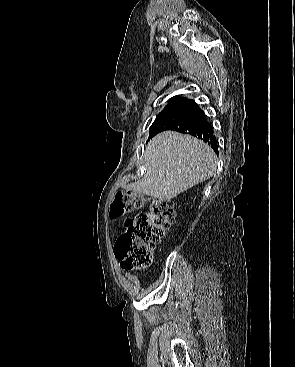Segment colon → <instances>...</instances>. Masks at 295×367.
Here are the masks:
<instances>
[{"label":"colon","mask_w":295,"mask_h":367,"mask_svg":"<svg viewBox=\"0 0 295 367\" xmlns=\"http://www.w3.org/2000/svg\"><path fill=\"white\" fill-rule=\"evenodd\" d=\"M145 199L130 192L116 194L111 205V216L119 217L141 208ZM175 221L171 201L153 200L148 211H143L125 222L126 230L117 238L115 255L123 269H140L150 265L156 246Z\"/></svg>","instance_id":"5ec220e1"}]
</instances>
